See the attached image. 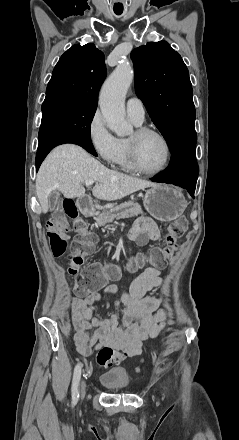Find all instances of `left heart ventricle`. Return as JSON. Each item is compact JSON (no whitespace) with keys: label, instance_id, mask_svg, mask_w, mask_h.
I'll use <instances>...</instances> for the list:
<instances>
[{"label":"left heart ventricle","instance_id":"b2bd125f","mask_svg":"<svg viewBox=\"0 0 239 440\" xmlns=\"http://www.w3.org/2000/svg\"><path fill=\"white\" fill-rule=\"evenodd\" d=\"M128 139L135 143L139 161L145 169L155 171L164 165L166 148L160 138L154 135L137 137L134 131Z\"/></svg>","mask_w":239,"mask_h":440}]
</instances>
